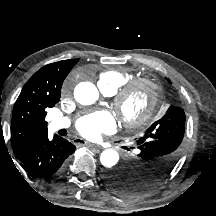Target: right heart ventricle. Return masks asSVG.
Returning <instances> with one entry per match:
<instances>
[{
  "instance_id": "right-heart-ventricle-1",
  "label": "right heart ventricle",
  "mask_w": 216,
  "mask_h": 216,
  "mask_svg": "<svg viewBox=\"0 0 216 216\" xmlns=\"http://www.w3.org/2000/svg\"><path fill=\"white\" fill-rule=\"evenodd\" d=\"M132 78L133 74L126 69H108L99 74L98 85L103 91L113 94Z\"/></svg>"
}]
</instances>
